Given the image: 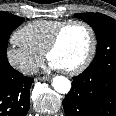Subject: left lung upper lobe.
Segmentation results:
<instances>
[{
  "instance_id": "5c2ea615",
  "label": "left lung upper lobe",
  "mask_w": 116,
  "mask_h": 116,
  "mask_svg": "<svg viewBox=\"0 0 116 116\" xmlns=\"http://www.w3.org/2000/svg\"><path fill=\"white\" fill-rule=\"evenodd\" d=\"M87 22L97 38V53L88 68L116 63V20L101 13H77Z\"/></svg>"
}]
</instances>
